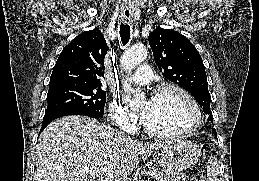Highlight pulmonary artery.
I'll return each instance as SVG.
<instances>
[{"label":"pulmonary artery","mask_w":259,"mask_h":181,"mask_svg":"<svg viewBox=\"0 0 259 181\" xmlns=\"http://www.w3.org/2000/svg\"><path fill=\"white\" fill-rule=\"evenodd\" d=\"M127 79L135 84H148L152 80V70L149 65L143 64L135 74L128 76Z\"/></svg>","instance_id":"1"}]
</instances>
